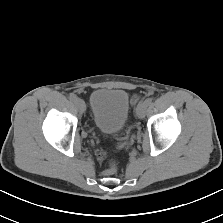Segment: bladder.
Segmentation results:
<instances>
[{
	"instance_id": "bladder-1",
	"label": "bladder",
	"mask_w": 223,
	"mask_h": 223,
	"mask_svg": "<svg viewBox=\"0 0 223 223\" xmlns=\"http://www.w3.org/2000/svg\"><path fill=\"white\" fill-rule=\"evenodd\" d=\"M90 107L95 126L104 133L122 130L130 113V98L121 88H98L91 93Z\"/></svg>"
}]
</instances>
